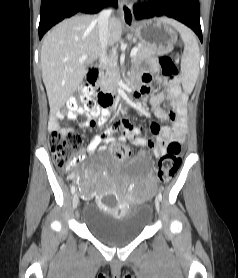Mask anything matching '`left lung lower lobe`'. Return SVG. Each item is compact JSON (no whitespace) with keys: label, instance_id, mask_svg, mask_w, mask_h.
I'll return each mask as SVG.
<instances>
[{"label":"left lung lower lobe","instance_id":"obj_1","mask_svg":"<svg viewBox=\"0 0 238 278\" xmlns=\"http://www.w3.org/2000/svg\"><path fill=\"white\" fill-rule=\"evenodd\" d=\"M134 15L137 20L174 18L190 27L202 42L199 0H149L144 5L134 6Z\"/></svg>","mask_w":238,"mask_h":278}]
</instances>
